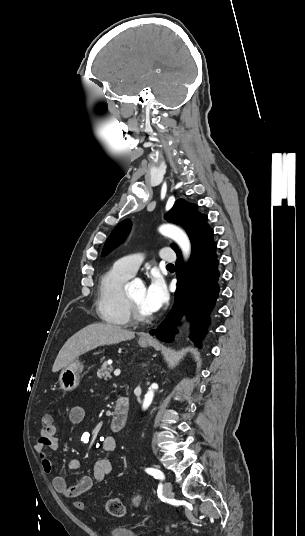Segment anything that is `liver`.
Returning <instances> with one entry per match:
<instances>
[{"mask_svg":"<svg viewBox=\"0 0 305 536\" xmlns=\"http://www.w3.org/2000/svg\"><path fill=\"white\" fill-rule=\"evenodd\" d=\"M135 332L124 330L121 326L113 324H90L86 326L72 338L65 342L61 348L52 368V372H59L61 368H66L75 358L95 350L98 346H110V344H120L126 340H133Z\"/></svg>","mask_w":305,"mask_h":536,"instance_id":"obj_1","label":"liver"}]
</instances>
